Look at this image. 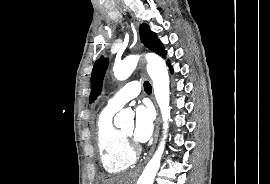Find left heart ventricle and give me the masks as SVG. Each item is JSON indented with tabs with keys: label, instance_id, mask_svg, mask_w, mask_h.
Here are the masks:
<instances>
[{
	"label": "left heart ventricle",
	"instance_id": "b2bd125f",
	"mask_svg": "<svg viewBox=\"0 0 270 184\" xmlns=\"http://www.w3.org/2000/svg\"><path fill=\"white\" fill-rule=\"evenodd\" d=\"M124 132L127 133V134H129V135H132V133H133V125L131 124V125L127 126L124 129Z\"/></svg>",
	"mask_w": 270,
	"mask_h": 184
}]
</instances>
